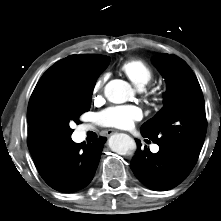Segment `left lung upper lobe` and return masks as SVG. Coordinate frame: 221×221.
Here are the masks:
<instances>
[{
  "label": "left lung upper lobe",
  "mask_w": 221,
  "mask_h": 221,
  "mask_svg": "<svg viewBox=\"0 0 221 221\" xmlns=\"http://www.w3.org/2000/svg\"><path fill=\"white\" fill-rule=\"evenodd\" d=\"M153 62L167 82L165 105L142 125L141 133L196 163L207 128L199 82L187 63L175 55L158 54Z\"/></svg>",
  "instance_id": "5c2ea615"
}]
</instances>
